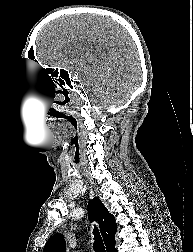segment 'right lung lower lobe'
<instances>
[{
	"label": "right lung lower lobe",
	"instance_id": "right-lung-lower-lobe-1",
	"mask_svg": "<svg viewBox=\"0 0 193 252\" xmlns=\"http://www.w3.org/2000/svg\"><path fill=\"white\" fill-rule=\"evenodd\" d=\"M112 252H117V250L114 248V249L112 250Z\"/></svg>",
	"mask_w": 193,
	"mask_h": 252
}]
</instances>
